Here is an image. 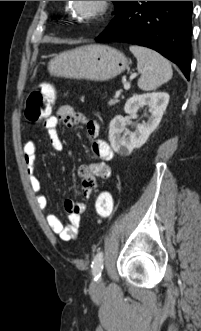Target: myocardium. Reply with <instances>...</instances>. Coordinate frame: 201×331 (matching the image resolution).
I'll return each mask as SVG.
<instances>
[{
  "mask_svg": "<svg viewBox=\"0 0 201 331\" xmlns=\"http://www.w3.org/2000/svg\"><path fill=\"white\" fill-rule=\"evenodd\" d=\"M95 8L93 11L88 13H83L78 7V1H72V9L73 11L82 18L85 19H97L109 10L110 8V1H94Z\"/></svg>",
  "mask_w": 201,
  "mask_h": 331,
  "instance_id": "obj_1",
  "label": "myocardium"
}]
</instances>
